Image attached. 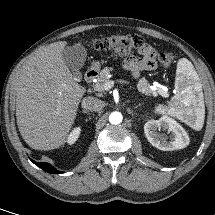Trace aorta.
<instances>
[{
	"instance_id": "obj_1",
	"label": "aorta",
	"mask_w": 215,
	"mask_h": 215,
	"mask_svg": "<svg viewBox=\"0 0 215 215\" xmlns=\"http://www.w3.org/2000/svg\"><path fill=\"white\" fill-rule=\"evenodd\" d=\"M122 114L120 112H112L109 116V121L111 124H119L122 122Z\"/></svg>"
}]
</instances>
